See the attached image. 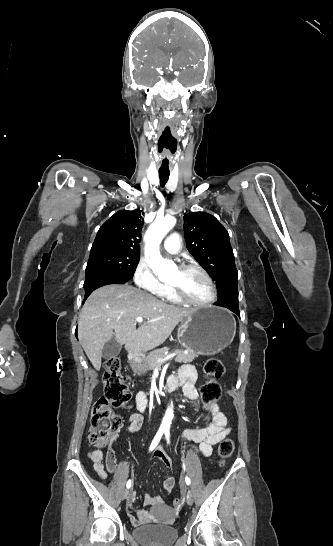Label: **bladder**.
Returning a JSON list of instances; mask_svg holds the SVG:
<instances>
[{
    "label": "bladder",
    "instance_id": "1",
    "mask_svg": "<svg viewBox=\"0 0 333 546\" xmlns=\"http://www.w3.org/2000/svg\"><path fill=\"white\" fill-rule=\"evenodd\" d=\"M134 538L144 546H170L178 537V530L173 526L143 524L132 530Z\"/></svg>",
    "mask_w": 333,
    "mask_h": 546
}]
</instances>
